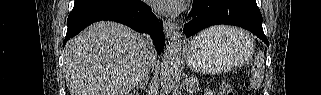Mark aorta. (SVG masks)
<instances>
[{
	"mask_svg": "<svg viewBox=\"0 0 321 95\" xmlns=\"http://www.w3.org/2000/svg\"><path fill=\"white\" fill-rule=\"evenodd\" d=\"M182 34L179 30L173 33L164 52L161 64L160 83L163 92L170 93L180 72Z\"/></svg>",
	"mask_w": 321,
	"mask_h": 95,
	"instance_id": "obj_1",
	"label": "aorta"
}]
</instances>
